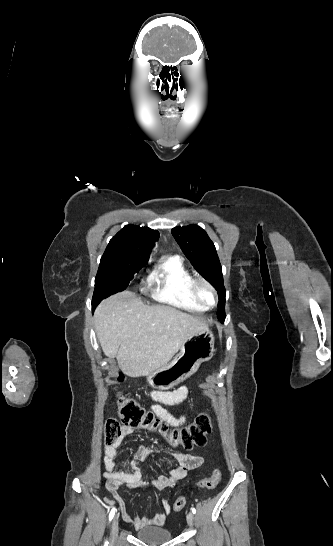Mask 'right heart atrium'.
Segmentation results:
<instances>
[{
	"label": "right heart atrium",
	"mask_w": 333,
	"mask_h": 546,
	"mask_svg": "<svg viewBox=\"0 0 333 546\" xmlns=\"http://www.w3.org/2000/svg\"><path fill=\"white\" fill-rule=\"evenodd\" d=\"M150 282V278H146L143 282H142V288L145 289V287L147 286V284Z\"/></svg>",
	"instance_id": "obj_1"
}]
</instances>
